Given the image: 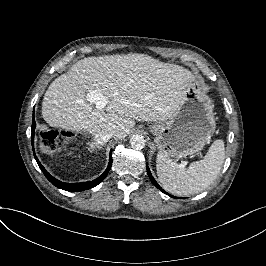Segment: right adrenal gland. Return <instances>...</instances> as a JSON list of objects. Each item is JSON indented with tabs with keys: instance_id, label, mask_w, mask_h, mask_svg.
Masks as SVG:
<instances>
[{
	"instance_id": "1",
	"label": "right adrenal gland",
	"mask_w": 266,
	"mask_h": 266,
	"mask_svg": "<svg viewBox=\"0 0 266 266\" xmlns=\"http://www.w3.org/2000/svg\"><path fill=\"white\" fill-rule=\"evenodd\" d=\"M89 147H90V150L91 152H96V149H102L103 147L102 146H99L97 144H95L94 142H90L89 144Z\"/></svg>"
}]
</instances>
